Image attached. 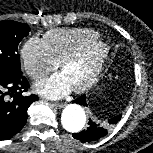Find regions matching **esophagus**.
Wrapping results in <instances>:
<instances>
[{"label": "esophagus", "instance_id": "obj_1", "mask_svg": "<svg viewBox=\"0 0 153 153\" xmlns=\"http://www.w3.org/2000/svg\"><path fill=\"white\" fill-rule=\"evenodd\" d=\"M53 106L57 107V108H63L65 106V103H60V102H54Z\"/></svg>", "mask_w": 153, "mask_h": 153}]
</instances>
